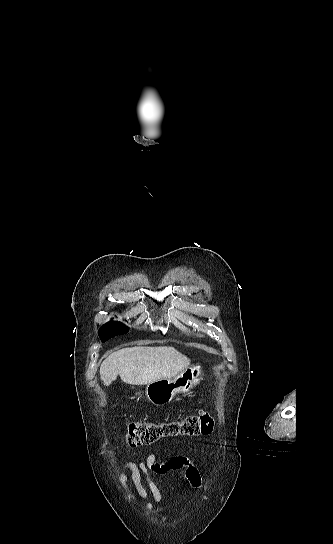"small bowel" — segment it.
Segmentation results:
<instances>
[{"label": "small bowel", "mask_w": 333, "mask_h": 544, "mask_svg": "<svg viewBox=\"0 0 333 544\" xmlns=\"http://www.w3.org/2000/svg\"><path fill=\"white\" fill-rule=\"evenodd\" d=\"M183 470L184 476L194 489L201 485V476L197 467L186 457L176 456L168 461L159 462L154 454H148L143 461L127 462L120 475L119 482L129 499L135 501L140 498L148 510L153 508L151 498L155 502L162 501L161 492L153 481L151 474L163 475L170 471ZM129 473V475L127 474ZM129 479L135 491L128 488ZM146 483V486L144 485Z\"/></svg>", "instance_id": "1"}]
</instances>
